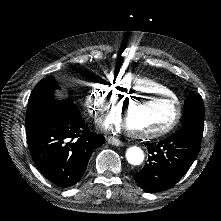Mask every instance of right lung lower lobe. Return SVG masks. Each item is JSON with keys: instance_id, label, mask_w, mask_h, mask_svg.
Segmentation results:
<instances>
[{"instance_id": "98d812e1", "label": "right lung lower lobe", "mask_w": 221, "mask_h": 221, "mask_svg": "<svg viewBox=\"0 0 221 221\" xmlns=\"http://www.w3.org/2000/svg\"><path fill=\"white\" fill-rule=\"evenodd\" d=\"M26 133L37 168L63 188L81 179L93 151L105 141L102 135L89 131L80 113L35 122Z\"/></svg>"}]
</instances>
